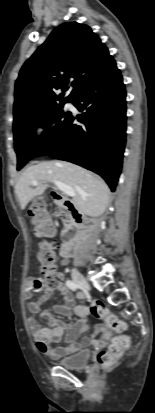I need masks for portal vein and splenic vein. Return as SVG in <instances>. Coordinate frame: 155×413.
<instances>
[{
  "label": "portal vein and splenic vein",
  "instance_id": "18ae733b",
  "mask_svg": "<svg viewBox=\"0 0 155 413\" xmlns=\"http://www.w3.org/2000/svg\"><path fill=\"white\" fill-rule=\"evenodd\" d=\"M33 183H34V184H37V181L35 180V181H33ZM53 183L59 188V190H60L63 194H66V195H69V196H72V197L75 196V192H74V190H73V188H72L71 186L66 185V184H64V183H62V182H60V181H58V180H54Z\"/></svg>",
  "mask_w": 155,
  "mask_h": 413
}]
</instances>
